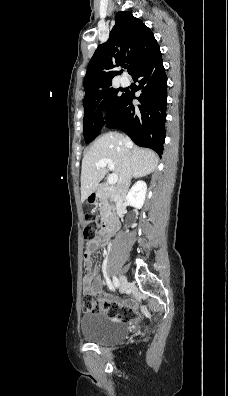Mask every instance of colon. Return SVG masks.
<instances>
[{
  "label": "colon",
  "mask_w": 228,
  "mask_h": 396,
  "mask_svg": "<svg viewBox=\"0 0 228 396\" xmlns=\"http://www.w3.org/2000/svg\"><path fill=\"white\" fill-rule=\"evenodd\" d=\"M97 230V218L94 216H87L85 219V228L83 231V236L86 241V247L91 239L95 236ZM84 260H86L85 256ZM83 307L86 312H102L111 318H120L125 321L132 320L134 317L133 309L130 306L109 301L99 302L90 294H85L83 299Z\"/></svg>",
  "instance_id": "5ec220e1"
}]
</instances>
